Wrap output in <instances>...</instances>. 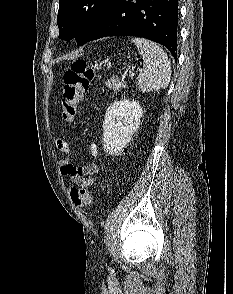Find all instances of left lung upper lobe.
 <instances>
[{
  "label": "left lung upper lobe",
  "instance_id": "1",
  "mask_svg": "<svg viewBox=\"0 0 233 294\" xmlns=\"http://www.w3.org/2000/svg\"><path fill=\"white\" fill-rule=\"evenodd\" d=\"M113 0H59V38L84 45Z\"/></svg>",
  "mask_w": 233,
  "mask_h": 294
}]
</instances>
